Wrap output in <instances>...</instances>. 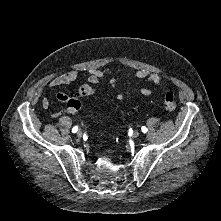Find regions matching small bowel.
<instances>
[{
	"label": "small bowel",
	"mask_w": 221,
	"mask_h": 221,
	"mask_svg": "<svg viewBox=\"0 0 221 221\" xmlns=\"http://www.w3.org/2000/svg\"><path fill=\"white\" fill-rule=\"evenodd\" d=\"M78 76H79V73L76 70H70L68 72L61 73V74H58L57 76L53 77L49 81L48 86L50 88H56V87H60L63 85H67V84L74 82L78 78ZM105 76H110L108 79V82L111 86L115 87L118 84V78L113 75V72L108 71V70L106 71V70H101V69H97V68H91L88 70L87 80H88L89 84H84V85L98 84L100 81H102L104 79ZM127 77L130 79L144 80L146 82L153 83L155 85H161L163 83V78L159 74L152 73V72L145 70V69L129 73L127 75ZM84 85H82V86H84ZM80 88L78 89V91L74 95H69L67 93L58 92L55 94V99L59 102L65 103L67 105L68 110L70 112H73L75 110L71 106V101L73 98L79 97ZM138 92L143 96H150L153 94V91L148 88H141L138 90ZM131 93H132L131 91L121 92L117 95V99L123 100L126 96L130 95ZM41 105L44 109H48L50 106L49 99L44 98L42 100ZM61 114H62V111L58 110V111L53 112L51 116L56 118V117L60 116Z\"/></svg>",
	"instance_id": "obj_1"
}]
</instances>
